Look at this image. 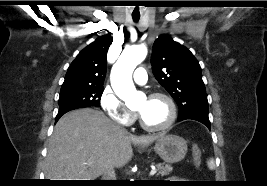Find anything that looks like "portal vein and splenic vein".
<instances>
[{"mask_svg":"<svg viewBox=\"0 0 267 186\" xmlns=\"http://www.w3.org/2000/svg\"><path fill=\"white\" fill-rule=\"evenodd\" d=\"M156 172H157V169H152V170L149 172V175H150V176H153V175L156 174Z\"/></svg>","mask_w":267,"mask_h":186,"instance_id":"obj_1","label":"portal vein and splenic vein"}]
</instances>
